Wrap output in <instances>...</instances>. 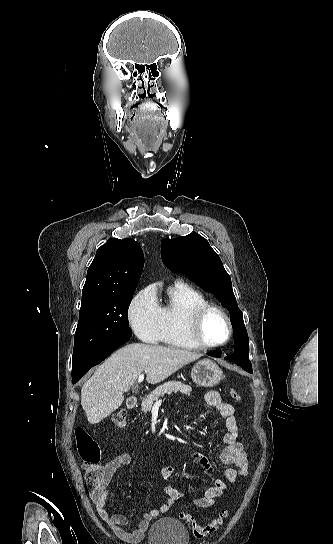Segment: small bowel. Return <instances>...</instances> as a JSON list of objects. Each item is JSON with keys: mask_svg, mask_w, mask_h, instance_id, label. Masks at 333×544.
Segmentation results:
<instances>
[{"mask_svg": "<svg viewBox=\"0 0 333 544\" xmlns=\"http://www.w3.org/2000/svg\"><path fill=\"white\" fill-rule=\"evenodd\" d=\"M204 400L209 407L225 419L226 432L222 437L224 448L220 453V459L229 467L224 470L222 478L214 480L213 485L205 491L203 497L193 500L194 505L199 508L212 506L222 496L228 486L234 483L239 476L247 475L249 465L248 455L243 445L238 441L239 428L234 415V407L230 403L223 401L220 393L215 390L208 391L204 396ZM193 457L204 469H212L206 457L200 454H194ZM131 462L132 458L128 453H122L111 459L104 466L106 477L104 485L97 490H91L90 498L99 517L110 527L116 536L124 541L137 543L143 539L149 523L157 516L167 513L184 494L176 487L166 485L164 492L167 498L164 503L144 513L137 527L134 530H128L127 525L129 521L127 516L121 513L111 514L106 508V500L108 497V486L114 474L118 469L129 466ZM174 473L175 467L168 465L161 469L160 476L163 480L167 481Z\"/></svg>", "mask_w": 333, "mask_h": 544, "instance_id": "obj_1", "label": "small bowel"}]
</instances>
